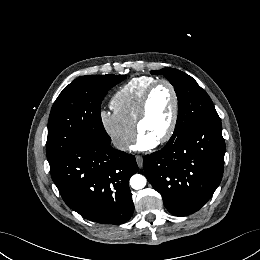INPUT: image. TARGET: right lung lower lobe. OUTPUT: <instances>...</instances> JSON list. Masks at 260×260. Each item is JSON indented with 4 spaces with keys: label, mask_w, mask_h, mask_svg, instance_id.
Masks as SVG:
<instances>
[{
    "label": "right lung lower lobe",
    "mask_w": 260,
    "mask_h": 260,
    "mask_svg": "<svg viewBox=\"0 0 260 260\" xmlns=\"http://www.w3.org/2000/svg\"><path fill=\"white\" fill-rule=\"evenodd\" d=\"M50 164L52 179L65 203L82 217L122 224L134 211L128 183L138 170L135 156L110 145H75Z\"/></svg>",
    "instance_id": "98d812e1"
}]
</instances>
